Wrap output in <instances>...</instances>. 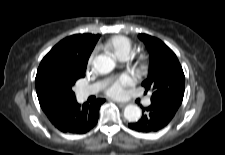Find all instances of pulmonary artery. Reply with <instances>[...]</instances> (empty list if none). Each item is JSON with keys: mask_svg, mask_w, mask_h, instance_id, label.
Wrapping results in <instances>:
<instances>
[{"mask_svg": "<svg viewBox=\"0 0 225 155\" xmlns=\"http://www.w3.org/2000/svg\"><path fill=\"white\" fill-rule=\"evenodd\" d=\"M127 58H128V56H122L119 59L124 61V60H127ZM100 87H101L100 83H96V84H93V85L88 86V87H82L77 92L78 97L81 98V99H84V98L88 97L89 95L96 93L99 90ZM143 104L145 106L150 105L151 99L149 97L145 98L144 101H143Z\"/></svg>", "mask_w": 225, "mask_h": 155, "instance_id": "obj_1", "label": "pulmonary artery"}]
</instances>
